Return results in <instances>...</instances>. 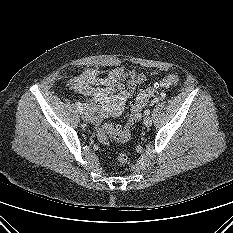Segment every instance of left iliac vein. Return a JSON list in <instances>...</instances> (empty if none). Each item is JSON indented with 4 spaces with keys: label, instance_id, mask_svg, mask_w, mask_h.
<instances>
[{
    "label": "left iliac vein",
    "instance_id": "left-iliac-vein-1",
    "mask_svg": "<svg viewBox=\"0 0 233 233\" xmlns=\"http://www.w3.org/2000/svg\"><path fill=\"white\" fill-rule=\"evenodd\" d=\"M143 124L146 127H150L152 125V119L149 116H146L143 120Z\"/></svg>",
    "mask_w": 233,
    "mask_h": 233
}]
</instances>
